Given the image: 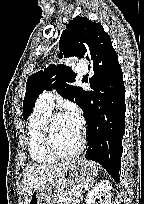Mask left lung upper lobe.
I'll use <instances>...</instances> for the list:
<instances>
[{
    "mask_svg": "<svg viewBox=\"0 0 144 204\" xmlns=\"http://www.w3.org/2000/svg\"><path fill=\"white\" fill-rule=\"evenodd\" d=\"M59 49V58L85 57L92 67L103 70H108L118 61L110 36L100 23L92 22L86 17L77 16L66 26L60 38ZM75 76L70 67L54 64L31 75L26 83L23 101L24 118L30 115L36 99L43 90L51 88H55L64 98L80 106L84 91L81 87L69 85L75 81Z\"/></svg>",
    "mask_w": 144,
    "mask_h": 204,
    "instance_id": "left-lung-upper-lobe-1",
    "label": "left lung upper lobe"
}]
</instances>
